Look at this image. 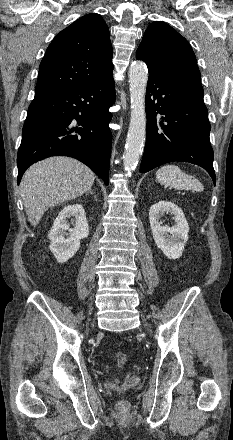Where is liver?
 Here are the masks:
<instances>
[{"mask_svg": "<svg viewBox=\"0 0 233 440\" xmlns=\"http://www.w3.org/2000/svg\"><path fill=\"white\" fill-rule=\"evenodd\" d=\"M95 174L69 157H51L35 163L24 174L20 191L26 215L36 226L50 207L89 191Z\"/></svg>", "mask_w": 233, "mask_h": 440, "instance_id": "liver-1", "label": "liver"}]
</instances>
